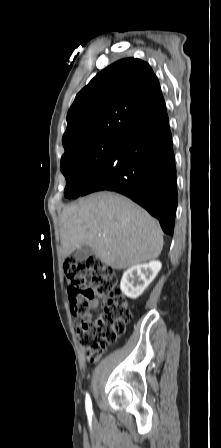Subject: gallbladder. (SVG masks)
<instances>
[{"mask_svg":"<svg viewBox=\"0 0 221 448\" xmlns=\"http://www.w3.org/2000/svg\"><path fill=\"white\" fill-rule=\"evenodd\" d=\"M92 254V249L88 245H82L76 250L74 257L77 261H84Z\"/></svg>","mask_w":221,"mask_h":448,"instance_id":"gallbladder-1","label":"gallbladder"}]
</instances>
